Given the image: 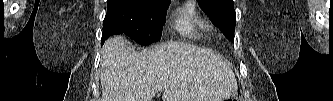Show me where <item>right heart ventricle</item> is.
Segmentation results:
<instances>
[{"instance_id": "right-heart-ventricle-1", "label": "right heart ventricle", "mask_w": 333, "mask_h": 101, "mask_svg": "<svg viewBox=\"0 0 333 101\" xmlns=\"http://www.w3.org/2000/svg\"><path fill=\"white\" fill-rule=\"evenodd\" d=\"M175 30L184 37L199 39L209 30L207 19L197 10L193 1L187 2L175 15Z\"/></svg>"}]
</instances>
